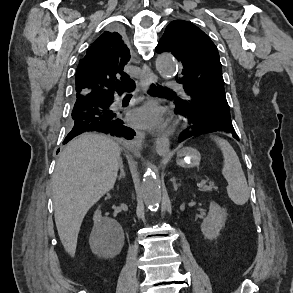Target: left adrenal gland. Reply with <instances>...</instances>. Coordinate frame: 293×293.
<instances>
[{"label": "left adrenal gland", "mask_w": 293, "mask_h": 293, "mask_svg": "<svg viewBox=\"0 0 293 293\" xmlns=\"http://www.w3.org/2000/svg\"><path fill=\"white\" fill-rule=\"evenodd\" d=\"M171 181H172V183H173V188H174V191H177V189H178V186H180V184H177V183H176V180H175V178L171 179Z\"/></svg>", "instance_id": "a2214340"}]
</instances>
